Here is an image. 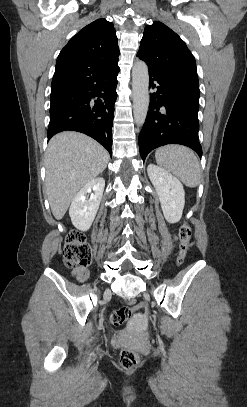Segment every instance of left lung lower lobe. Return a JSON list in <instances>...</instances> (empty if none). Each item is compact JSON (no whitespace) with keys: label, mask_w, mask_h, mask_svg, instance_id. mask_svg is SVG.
<instances>
[{"label":"left lung lower lobe","mask_w":247,"mask_h":407,"mask_svg":"<svg viewBox=\"0 0 247 407\" xmlns=\"http://www.w3.org/2000/svg\"><path fill=\"white\" fill-rule=\"evenodd\" d=\"M149 75V87L156 92L150 95L149 110L139 135L142 160L153 149L167 144L188 146L201 157L198 82L151 70Z\"/></svg>","instance_id":"0a47b994"}]
</instances>
